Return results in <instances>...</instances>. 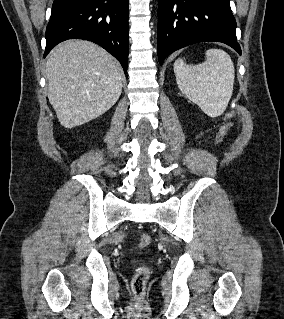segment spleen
I'll return each mask as SVG.
<instances>
[{"label":"spleen","instance_id":"spleen-1","mask_svg":"<svg viewBox=\"0 0 284 319\" xmlns=\"http://www.w3.org/2000/svg\"><path fill=\"white\" fill-rule=\"evenodd\" d=\"M198 65L174 63L176 82L181 92L210 117L223 114L232 96L235 70L231 57L221 49H209Z\"/></svg>","mask_w":284,"mask_h":319}]
</instances>
